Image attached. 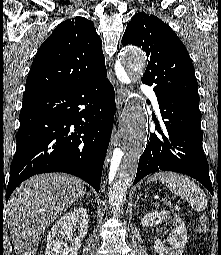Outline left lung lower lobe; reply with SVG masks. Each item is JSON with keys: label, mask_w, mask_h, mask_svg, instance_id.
<instances>
[{"label": "left lung lower lobe", "mask_w": 221, "mask_h": 255, "mask_svg": "<svg viewBox=\"0 0 221 255\" xmlns=\"http://www.w3.org/2000/svg\"><path fill=\"white\" fill-rule=\"evenodd\" d=\"M157 99L164 122H156L155 132L150 133L133 184L150 173L167 170L195 178L213 194L208 162L202 148L199 108L166 98Z\"/></svg>", "instance_id": "1"}]
</instances>
